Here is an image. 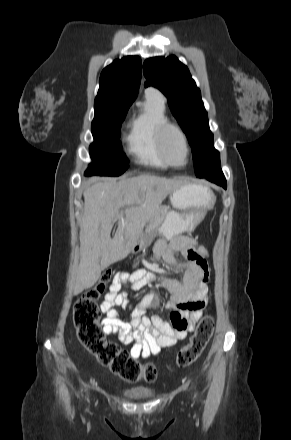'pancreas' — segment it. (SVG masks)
I'll list each match as a JSON object with an SVG mask.
<instances>
[{
	"label": "pancreas",
	"instance_id": "pancreas-1",
	"mask_svg": "<svg viewBox=\"0 0 291 440\" xmlns=\"http://www.w3.org/2000/svg\"><path fill=\"white\" fill-rule=\"evenodd\" d=\"M169 209L170 208L168 206H160L156 210V212L153 214V216L149 220L144 234H142V236H141L142 242L145 237H149L150 235H152L156 231V229L163 223L165 216L167 215Z\"/></svg>",
	"mask_w": 291,
	"mask_h": 440
}]
</instances>
